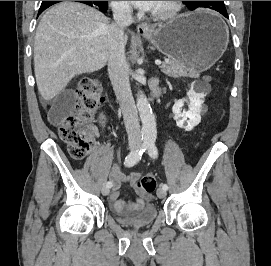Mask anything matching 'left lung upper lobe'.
<instances>
[{"instance_id": "left-lung-upper-lobe-1", "label": "left lung upper lobe", "mask_w": 271, "mask_h": 266, "mask_svg": "<svg viewBox=\"0 0 271 266\" xmlns=\"http://www.w3.org/2000/svg\"><path fill=\"white\" fill-rule=\"evenodd\" d=\"M185 5L190 10H195L197 8H208L219 13L221 11H226L224 1H183Z\"/></svg>"}]
</instances>
